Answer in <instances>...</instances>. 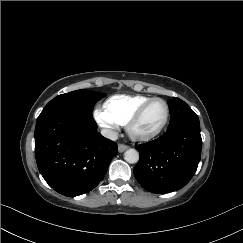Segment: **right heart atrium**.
I'll use <instances>...</instances> for the list:
<instances>
[{
  "instance_id": "obj_1",
  "label": "right heart atrium",
  "mask_w": 243,
  "mask_h": 243,
  "mask_svg": "<svg viewBox=\"0 0 243 243\" xmlns=\"http://www.w3.org/2000/svg\"><path fill=\"white\" fill-rule=\"evenodd\" d=\"M94 118L101 127L105 128L109 132H112L118 126L117 121L103 108H96L94 110Z\"/></svg>"
}]
</instances>
